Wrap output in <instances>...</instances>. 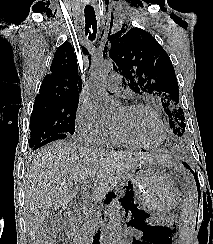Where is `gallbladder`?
Returning a JSON list of instances; mask_svg holds the SVG:
<instances>
[{"label": "gallbladder", "instance_id": "1", "mask_svg": "<svg viewBox=\"0 0 213 244\" xmlns=\"http://www.w3.org/2000/svg\"><path fill=\"white\" fill-rule=\"evenodd\" d=\"M67 226V212L52 209L42 224L43 232L60 233Z\"/></svg>", "mask_w": 213, "mask_h": 244}]
</instances>
